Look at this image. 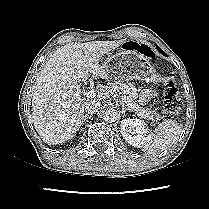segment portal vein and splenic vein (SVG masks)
<instances>
[{
  "label": "portal vein and splenic vein",
  "instance_id": "obj_1",
  "mask_svg": "<svg viewBox=\"0 0 209 209\" xmlns=\"http://www.w3.org/2000/svg\"><path fill=\"white\" fill-rule=\"evenodd\" d=\"M86 96H87V98H94V97H96V91L95 90H90V91L87 92ZM127 99L128 98L126 96H122V100L124 102H126Z\"/></svg>",
  "mask_w": 209,
  "mask_h": 209
}]
</instances>
